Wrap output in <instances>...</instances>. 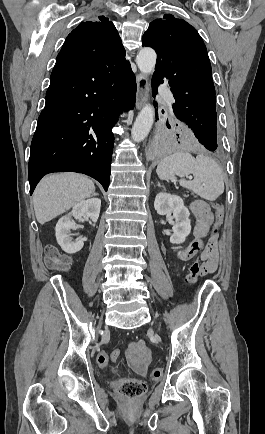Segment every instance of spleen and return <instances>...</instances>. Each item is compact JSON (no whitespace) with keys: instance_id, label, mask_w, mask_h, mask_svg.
Here are the masks:
<instances>
[{"instance_id":"obj_1","label":"spleen","mask_w":265,"mask_h":434,"mask_svg":"<svg viewBox=\"0 0 265 434\" xmlns=\"http://www.w3.org/2000/svg\"><path fill=\"white\" fill-rule=\"evenodd\" d=\"M156 172L160 180L193 174L194 180H182L180 186L210 202L217 200L224 192L223 172L219 164L204 154L193 158L189 152H175L159 162Z\"/></svg>"}]
</instances>
